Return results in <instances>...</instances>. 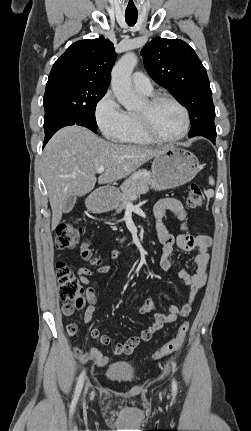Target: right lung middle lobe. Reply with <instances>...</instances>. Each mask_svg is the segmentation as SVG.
Instances as JSON below:
<instances>
[{
    "mask_svg": "<svg viewBox=\"0 0 251 431\" xmlns=\"http://www.w3.org/2000/svg\"><path fill=\"white\" fill-rule=\"evenodd\" d=\"M101 87L72 76L49 77L44 94V129L62 119H78L98 128L95 119L97 103L105 95Z\"/></svg>",
    "mask_w": 251,
    "mask_h": 431,
    "instance_id": "obj_1",
    "label": "right lung middle lobe"
}]
</instances>
